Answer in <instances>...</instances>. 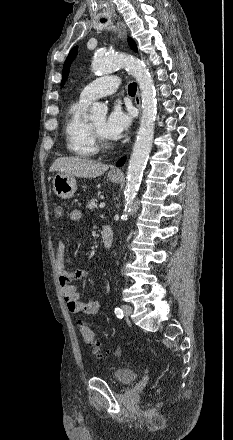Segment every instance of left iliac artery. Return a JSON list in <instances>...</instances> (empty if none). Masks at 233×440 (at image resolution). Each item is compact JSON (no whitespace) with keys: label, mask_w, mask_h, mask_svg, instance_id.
Segmentation results:
<instances>
[{"label":"left iliac artery","mask_w":233,"mask_h":440,"mask_svg":"<svg viewBox=\"0 0 233 440\" xmlns=\"http://www.w3.org/2000/svg\"><path fill=\"white\" fill-rule=\"evenodd\" d=\"M115 314L118 318H123V311L119 307L115 308Z\"/></svg>","instance_id":"44dca946"}]
</instances>
